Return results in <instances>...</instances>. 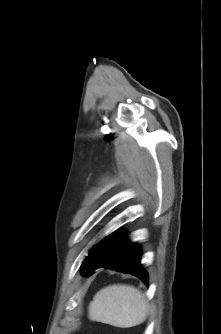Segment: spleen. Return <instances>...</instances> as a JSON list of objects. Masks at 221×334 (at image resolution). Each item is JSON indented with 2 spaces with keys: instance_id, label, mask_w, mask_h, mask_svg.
Listing matches in <instances>:
<instances>
[{
  "instance_id": "1",
  "label": "spleen",
  "mask_w": 221,
  "mask_h": 334,
  "mask_svg": "<svg viewBox=\"0 0 221 334\" xmlns=\"http://www.w3.org/2000/svg\"><path fill=\"white\" fill-rule=\"evenodd\" d=\"M149 306L141 291L131 285L114 284L104 287L89 304V319L119 328L143 323Z\"/></svg>"
}]
</instances>
